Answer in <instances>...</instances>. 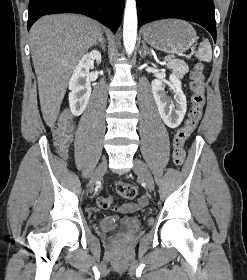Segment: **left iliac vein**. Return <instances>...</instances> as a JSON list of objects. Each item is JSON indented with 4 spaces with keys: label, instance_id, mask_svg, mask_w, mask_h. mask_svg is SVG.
Masks as SVG:
<instances>
[{
    "label": "left iliac vein",
    "instance_id": "obj_1",
    "mask_svg": "<svg viewBox=\"0 0 247 280\" xmlns=\"http://www.w3.org/2000/svg\"><path fill=\"white\" fill-rule=\"evenodd\" d=\"M134 172L146 183L149 190L154 189V180L147 166L139 159H134Z\"/></svg>",
    "mask_w": 247,
    "mask_h": 280
}]
</instances>
